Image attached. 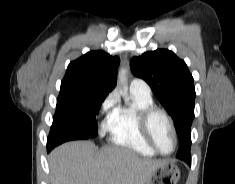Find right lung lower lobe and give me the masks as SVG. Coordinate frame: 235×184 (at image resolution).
<instances>
[{
    "instance_id": "obj_1",
    "label": "right lung lower lobe",
    "mask_w": 235,
    "mask_h": 184,
    "mask_svg": "<svg viewBox=\"0 0 235 184\" xmlns=\"http://www.w3.org/2000/svg\"><path fill=\"white\" fill-rule=\"evenodd\" d=\"M71 131H77L75 127L68 124L65 121H60L54 117L53 124L51 127L50 135L47 140V151L50 152L54 147V138L55 136L60 132H71Z\"/></svg>"
}]
</instances>
